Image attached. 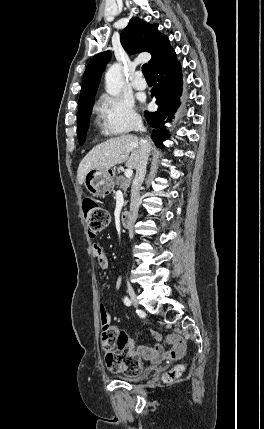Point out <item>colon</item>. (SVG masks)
Here are the masks:
<instances>
[{
    "label": "colon",
    "mask_w": 264,
    "mask_h": 429,
    "mask_svg": "<svg viewBox=\"0 0 264 429\" xmlns=\"http://www.w3.org/2000/svg\"><path fill=\"white\" fill-rule=\"evenodd\" d=\"M82 208L91 236L98 235L108 225L110 215L107 209L97 201L85 198ZM102 324V346L105 351L107 366L114 372H122L126 375H137L141 370V363L137 356L131 353V347L127 334L109 323L104 306L99 308ZM181 368L177 367L166 373L163 379L172 381L181 375Z\"/></svg>",
    "instance_id": "obj_1"
}]
</instances>
